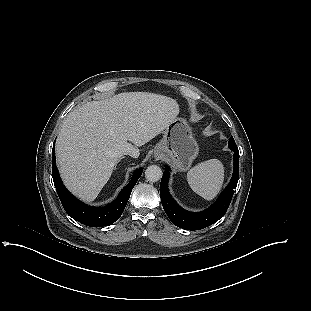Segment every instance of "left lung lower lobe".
I'll return each instance as SVG.
<instances>
[{
    "mask_svg": "<svg viewBox=\"0 0 311 311\" xmlns=\"http://www.w3.org/2000/svg\"><path fill=\"white\" fill-rule=\"evenodd\" d=\"M229 148L234 151V171L232 179L226 189L221 193L216 203L202 212H189L176 203L167 188L170 173L168 166H165L166 171L163 172L160 183V197L162 206L174 225L186 230H199L210 226L224 216L234 194V189L237 186L239 171L238 148L237 146H229Z\"/></svg>",
    "mask_w": 311,
    "mask_h": 311,
    "instance_id": "1",
    "label": "left lung lower lobe"
}]
</instances>
